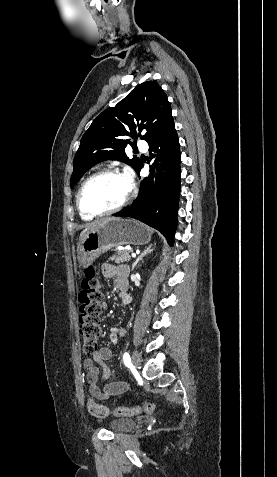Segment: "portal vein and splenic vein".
Returning a JSON list of instances; mask_svg holds the SVG:
<instances>
[{"mask_svg":"<svg viewBox=\"0 0 277 477\" xmlns=\"http://www.w3.org/2000/svg\"><path fill=\"white\" fill-rule=\"evenodd\" d=\"M131 256H132V257H136V253H135V252H132V253H131Z\"/></svg>","mask_w":277,"mask_h":477,"instance_id":"portal-vein-and-splenic-vein-1","label":"portal vein and splenic vein"}]
</instances>
